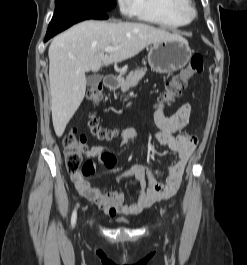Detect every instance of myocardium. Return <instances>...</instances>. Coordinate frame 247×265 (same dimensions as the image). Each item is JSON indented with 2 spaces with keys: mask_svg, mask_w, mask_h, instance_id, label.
<instances>
[{
  "mask_svg": "<svg viewBox=\"0 0 247 265\" xmlns=\"http://www.w3.org/2000/svg\"><path fill=\"white\" fill-rule=\"evenodd\" d=\"M181 13L190 21L196 18L197 9L190 0H186V3L181 9Z\"/></svg>",
  "mask_w": 247,
  "mask_h": 265,
  "instance_id": "obj_1",
  "label": "myocardium"
}]
</instances>
